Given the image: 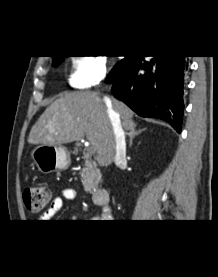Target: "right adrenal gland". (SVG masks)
I'll return each instance as SVG.
<instances>
[{"instance_id":"1","label":"right adrenal gland","mask_w":218,"mask_h":277,"mask_svg":"<svg viewBox=\"0 0 218 277\" xmlns=\"http://www.w3.org/2000/svg\"><path fill=\"white\" fill-rule=\"evenodd\" d=\"M146 128H143V129H140V130H136V125L134 126V128H132L129 133H128V136H129V147L132 146V142H133V139L138 136L139 134H141L143 131H145Z\"/></svg>"}]
</instances>
